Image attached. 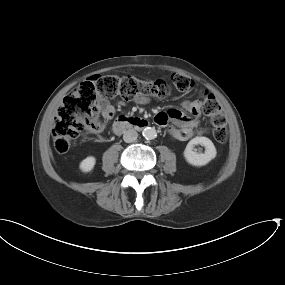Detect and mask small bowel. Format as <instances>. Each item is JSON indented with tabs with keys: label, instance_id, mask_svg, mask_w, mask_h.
<instances>
[{
	"label": "small bowel",
	"instance_id": "c3829d8e",
	"mask_svg": "<svg viewBox=\"0 0 285 285\" xmlns=\"http://www.w3.org/2000/svg\"><path fill=\"white\" fill-rule=\"evenodd\" d=\"M138 102L145 103L147 100L145 98H139ZM119 104L124 105V102H120ZM96 105L104 120H111L113 118L115 107L106 97H97ZM182 107L189 112L192 117L183 116L177 109H169L164 113L167 115L168 120L172 121L176 125L170 128V135L178 140L185 141L200 133L197 126L201 105L197 101H184L182 103Z\"/></svg>",
	"mask_w": 285,
	"mask_h": 285
}]
</instances>
